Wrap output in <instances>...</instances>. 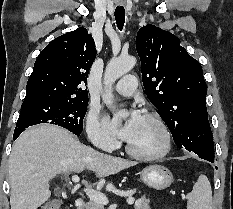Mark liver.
<instances>
[{
	"label": "liver",
	"instance_id": "liver-1",
	"mask_svg": "<svg viewBox=\"0 0 233 209\" xmlns=\"http://www.w3.org/2000/svg\"><path fill=\"white\" fill-rule=\"evenodd\" d=\"M135 163L115 158L80 143L67 130L39 125L14 142L9 158L11 209H37L51 196L49 182L61 173L85 168L104 178Z\"/></svg>",
	"mask_w": 233,
	"mask_h": 209
}]
</instances>
